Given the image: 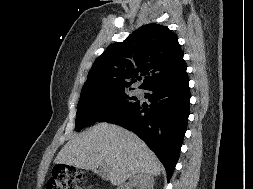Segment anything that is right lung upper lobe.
Listing matches in <instances>:
<instances>
[{
    "instance_id": "obj_1",
    "label": "right lung upper lobe",
    "mask_w": 253,
    "mask_h": 189,
    "mask_svg": "<svg viewBox=\"0 0 253 189\" xmlns=\"http://www.w3.org/2000/svg\"><path fill=\"white\" fill-rule=\"evenodd\" d=\"M183 55L176 34L168 27L144 25L124 41L111 44L95 60L81 92L130 87L141 76H146L141 89L181 79L187 75Z\"/></svg>"
}]
</instances>
